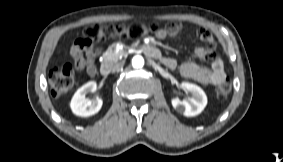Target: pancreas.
Returning a JSON list of instances; mask_svg holds the SVG:
<instances>
[{"label": "pancreas", "mask_w": 283, "mask_h": 162, "mask_svg": "<svg viewBox=\"0 0 283 162\" xmlns=\"http://www.w3.org/2000/svg\"><path fill=\"white\" fill-rule=\"evenodd\" d=\"M125 51L124 50H119L118 52L114 49V47H110L107 50V53L104 55V61L112 60L116 61L120 57L124 56Z\"/></svg>", "instance_id": "obj_1"}]
</instances>
